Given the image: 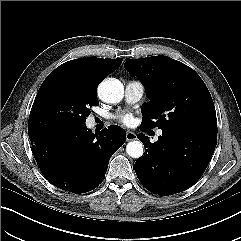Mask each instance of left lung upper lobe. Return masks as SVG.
Returning a JSON list of instances; mask_svg holds the SVG:
<instances>
[{
	"mask_svg": "<svg viewBox=\"0 0 241 241\" xmlns=\"http://www.w3.org/2000/svg\"><path fill=\"white\" fill-rule=\"evenodd\" d=\"M124 66L143 82L150 99L142 106L140 128H180L217 135L213 100L193 69L163 55L126 59Z\"/></svg>",
	"mask_w": 241,
	"mask_h": 241,
	"instance_id": "5c2ea615",
	"label": "left lung upper lobe"
}]
</instances>
